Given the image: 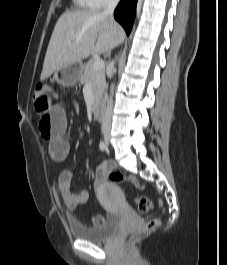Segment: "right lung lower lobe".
Segmentation results:
<instances>
[{"mask_svg": "<svg viewBox=\"0 0 227 265\" xmlns=\"http://www.w3.org/2000/svg\"><path fill=\"white\" fill-rule=\"evenodd\" d=\"M137 0H122L114 12L115 19L124 27L129 35L135 18Z\"/></svg>", "mask_w": 227, "mask_h": 265, "instance_id": "obj_1", "label": "right lung lower lobe"}]
</instances>
